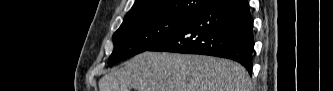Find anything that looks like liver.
<instances>
[{"label":"liver","instance_id":"1","mask_svg":"<svg viewBox=\"0 0 333 91\" xmlns=\"http://www.w3.org/2000/svg\"><path fill=\"white\" fill-rule=\"evenodd\" d=\"M251 91L246 69L231 60L143 52L101 78L99 91Z\"/></svg>","mask_w":333,"mask_h":91}]
</instances>
